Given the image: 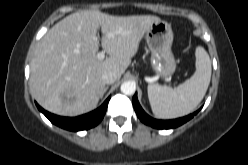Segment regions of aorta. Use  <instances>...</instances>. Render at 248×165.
<instances>
[{
	"mask_svg": "<svg viewBox=\"0 0 248 165\" xmlns=\"http://www.w3.org/2000/svg\"><path fill=\"white\" fill-rule=\"evenodd\" d=\"M120 89L121 92L124 93L125 95H132L135 93L136 85L134 82L126 81L121 84Z\"/></svg>",
	"mask_w": 248,
	"mask_h": 165,
	"instance_id": "aorta-1",
	"label": "aorta"
}]
</instances>
